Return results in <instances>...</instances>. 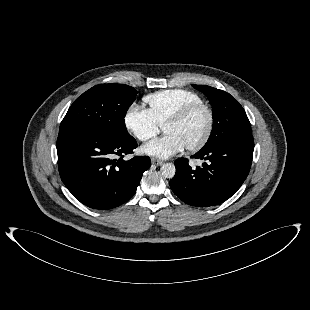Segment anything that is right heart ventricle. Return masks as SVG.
<instances>
[{
  "mask_svg": "<svg viewBox=\"0 0 310 310\" xmlns=\"http://www.w3.org/2000/svg\"><path fill=\"white\" fill-rule=\"evenodd\" d=\"M147 111L155 122L161 126L184 107L203 102L195 92L185 89L161 90L144 96Z\"/></svg>",
  "mask_w": 310,
  "mask_h": 310,
  "instance_id": "1",
  "label": "right heart ventricle"
}]
</instances>
